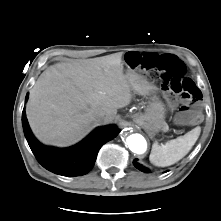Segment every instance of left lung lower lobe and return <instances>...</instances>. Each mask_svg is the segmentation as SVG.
Wrapping results in <instances>:
<instances>
[{"instance_id": "obj_1", "label": "left lung lower lobe", "mask_w": 221, "mask_h": 221, "mask_svg": "<svg viewBox=\"0 0 221 221\" xmlns=\"http://www.w3.org/2000/svg\"><path fill=\"white\" fill-rule=\"evenodd\" d=\"M133 164H134V166H135L137 169H139V170H141V171H143V172H145V173L149 172V170H148L147 168H145V167H143L142 165H140V164L137 163V159H135V160L133 161Z\"/></svg>"}]
</instances>
